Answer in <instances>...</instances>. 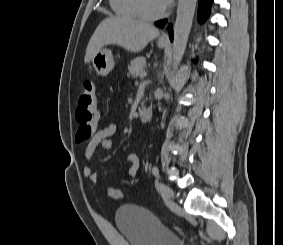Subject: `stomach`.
<instances>
[{"instance_id": "stomach-1", "label": "stomach", "mask_w": 283, "mask_h": 245, "mask_svg": "<svg viewBox=\"0 0 283 245\" xmlns=\"http://www.w3.org/2000/svg\"><path fill=\"white\" fill-rule=\"evenodd\" d=\"M165 45V43L158 42L160 48L165 47ZM92 64L98 75L106 76L115 65L111 50L100 49L92 58Z\"/></svg>"}]
</instances>
